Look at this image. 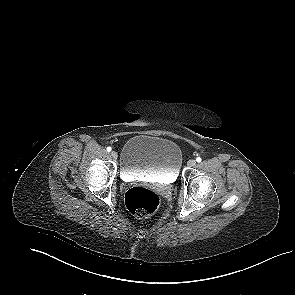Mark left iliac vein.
Listing matches in <instances>:
<instances>
[{
  "label": "left iliac vein",
  "instance_id": "1",
  "mask_svg": "<svg viewBox=\"0 0 295 295\" xmlns=\"http://www.w3.org/2000/svg\"><path fill=\"white\" fill-rule=\"evenodd\" d=\"M187 165L189 167H194L196 165V161L194 159H190L188 162H187Z\"/></svg>",
  "mask_w": 295,
  "mask_h": 295
}]
</instances>
